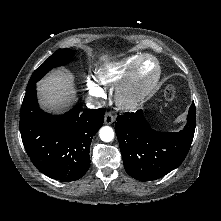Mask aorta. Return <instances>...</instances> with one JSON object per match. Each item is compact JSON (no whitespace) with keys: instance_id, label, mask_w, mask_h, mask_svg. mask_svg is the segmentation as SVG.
<instances>
[{"instance_id":"aorta-1","label":"aorta","mask_w":221,"mask_h":221,"mask_svg":"<svg viewBox=\"0 0 221 221\" xmlns=\"http://www.w3.org/2000/svg\"><path fill=\"white\" fill-rule=\"evenodd\" d=\"M100 139L104 142H111L114 138V131L109 126H104L99 131Z\"/></svg>"}]
</instances>
